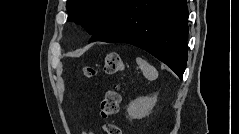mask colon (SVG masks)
Wrapping results in <instances>:
<instances>
[{"instance_id":"obj_1","label":"colon","mask_w":239,"mask_h":134,"mask_svg":"<svg viewBox=\"0 0 239 134\" xmlns=\"http://www.w3.org/2000/svg\"><path fill=\"white\" fill-rule=\"evenodd\" d=\"M124 70V62L119 54L111 52L105 58V71L109 74H115ZM83 73L87 77H94L96 70L91 66H85ZM121 102V94L117 87L108 90L101 103L100 115L103 118H108L117 114ZM104 132L106 134H122L121 129L115 124H105Z\"/></svg>"}]
</instances>
